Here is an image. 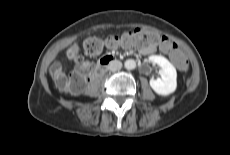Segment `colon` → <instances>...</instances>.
<instances>
[{
  "instance_id": "1",
  "label": "colon",
  "mask_w": 230,
  "mask_h": 155,
  "mask_svg": "<svg viewBox=\"0 0 230 155\" xmlns=\"http://www.w3.org/2000/svg\"><path fill=\"white\" fill-rule=\"evenodd\" d=\"M155 45H159L163 51L171 56L172 60L177 64L179 72H184L187 69V61L183 58L175 42L166 36L142 29L123 33L120 37L111 35L104 40L97 37H89L83 43V52L87 56H96L104 48L116 49L119 47H148ZM67 57L72 61L80 63L70 77H66L63 67L59 62H54L50 66L49 72L57 89L67 93H76L84 87L87 76L91 71V64L81 62L82 54L76 45L68 49Z\"/></svg>"
}]
</instances>
